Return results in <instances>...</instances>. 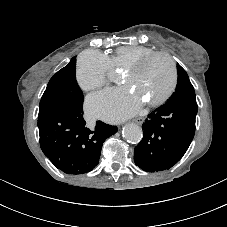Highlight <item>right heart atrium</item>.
Masks as SVG:
<instances>
[{
	"instance_id": "right-heart-atrium-1",
	"label": "right heart atrium",
	"mask_w": 227,
	"mask_h": 227,
	"mask_svg": "<svg viewBox=\"0 0 227 227\" xmlns=\"http://www.w3.org/2000/svg\"><path fill=\"white\" fill-rule=\"evenodd\" d=\"M112 69L108 56L97 50H86L78 58L76 79L84 91H94L108 82Z\"/></svg>"
}]
</instances>
